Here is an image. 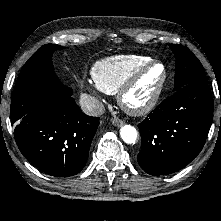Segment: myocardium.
Instances as JSON below:
<instances>
[{
	"instance_id": "myocardium-1",
	"label": "myocardium",
	"mask_w": 221,
	"mask_h": 221,
	"mask_svg": "<svg viewBox=\"0 0 221 221\" xmlns=\"http://www.w3.org/2000/svg\"><path fill=\"white\" fill-rule=\"evenodd\" d=\"M159 65L162 67L163 73L162 77L152 93V95L146 100L144 103L140 105H130L126 101V97L129 94V92L137 85L139 80L142 78V76L153 66ZM168 79V70L166 65L156 59H152L151 61L145 63L144 65L140 66L137 70H135L130 77L122 84V86L117 91V101L120 107L127 112L130 115L133 116H142L146 115L149 112H151L156 105L158 104L162 93L164 91V88L166 86Z\"/></svg>"
}]
</instances>
